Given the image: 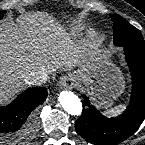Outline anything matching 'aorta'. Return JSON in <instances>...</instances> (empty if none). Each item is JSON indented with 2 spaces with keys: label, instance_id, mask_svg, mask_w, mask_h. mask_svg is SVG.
I'll return each instance as SVG.
<instances>
[{
  "label": "aorta",
  "instance_id": "aorta-1",
  "mask_svg": "<svg viewBox=\"0 0 145 145\" xmlns=\"http://www.w3.org/2000/svg\"><path fill=\"white\" fill-rule=\"evenodd\" d=\"M59 103L70 115L79 116L82 113V103L77 95L71 91H63L59 95Z\"/></svg>",
  "mask_w": 145,
  "mask_h": 145
}]
</instances>
